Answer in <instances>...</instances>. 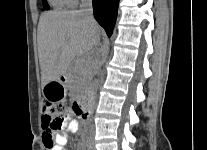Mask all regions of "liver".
<instances>
[{"mask_svg":"<svg viewBox=\"0 0 207 150\" xmlns=\"http://www.w3.org/2000/svg\"><path fill=\"white\" fill-rule=\"evenodd\" d=\"M100 34L101 28L96 21L80 11L44 12L37 35L42 88L60 79L76 56L89 59Z\"/></svg>","mask_w":207,"mask_h":150,"instance_id":"liver-1","label":"liver"}]
</instances>
